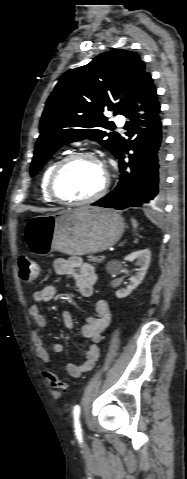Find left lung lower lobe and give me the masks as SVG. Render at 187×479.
Segmentation results:
<instances>
[{
	"instance_id": "obj_1",
	"label": "left lung lower lobe",
	"mask_w": 187,
	"mask_h": 479,
	"mask_svg": "<svg viewBox=\"0 0 187 479\" xmlns=\"http://www.w3.org/2000/svg\"><path fill=\"white\" fill-rule=\"evenodd\" d=\"M136 100L141 102L140 108L145 109V114L138 116L135 102L124 114L128 118L125 125L130 137L128 144L134 154L130 156V163H126L123 152L127 149L121 143L115 156L119 159L120 181L114 191L93 203L94 206L115 209L141 207L155 205L164 196V140L160 104L151 76L143 80ZM140 117L145 121H141Z\"/></svg>"
}]
</instances>
